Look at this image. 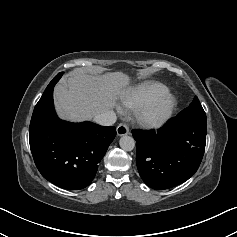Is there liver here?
I'll use <instances>...</instances> for the list:
<instances>
[{"instance_id": "obj_1", "label": "liver", "mask_w": 237, "mask_h": 237, "mask_svg": "<svg viewBox=\"0 0 237 237\" xmlns=\"http://www.w3.org/2000/svg\"><path fill=\"white\" fill-rule=\"evenodd\" d=\"M130 77L123 72L103 75L83 70L71 72L54 89V103L61 119L80 122L112 109L127 93Z\"/></svg>"}]
</instances>
